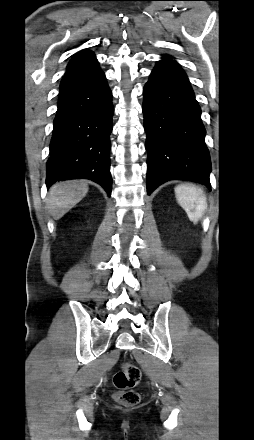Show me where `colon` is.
<instances>
[{
	"label": "colon",
	"instance_id": "1",
	"mask_svg": "<svg viewBox=\"0 0 254 440\" xmlns=\"http://www.w3.org/2000/svg\"><path fill=\"white\" fill-rule=\"evenodd\" d=\"M141 372L135 365L124 363L113 377L115 392L113 397L119 404L132 407L140 402V394L133 388L139 383Z\"/></svg>",
	"mask_w": 254,
	"mask_h": 440
}]
</instances>
